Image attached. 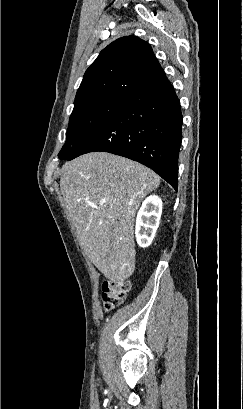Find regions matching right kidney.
I'll return each mask as SVG.
<instances>
[{
  "mask_svg": "<svg viewBox=\"0 0 243 409\" xmlns=\"http://www.w3.org/2000/svg\"><path fill=\"white\" fill-rule=\"evenodd\" d=\"M162 214V200L158 196L147 197L140 207L135 226V236L138 245L148 247L155 236Z\"/></svg>",
  "mask_w": 243,
  "mask_h": 409,
  "instance_id": "ca27d5eb",
  "label": "right kidney"
}]
</instances>
